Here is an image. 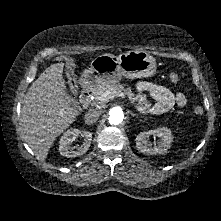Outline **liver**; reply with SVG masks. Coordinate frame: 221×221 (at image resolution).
<instances>
[{
  "instance_id": "6515ba94",
  "label": "liver",
  "mask_w": 221,
  "mask_h": 221,
  "mask_svg": "<svg viewBox=\"0 0 221 221\" xmlns=\"http://www.w3.org/2000/svg\"><path fill=\"white\" fill-rule=\"evenodd\" d=\"M63 67V62L52 64L41 73L27 90L21 108L24 140L40 160L46 159L55 139L78 115L66 94Z\"/></svg>"
}]
</instances>
